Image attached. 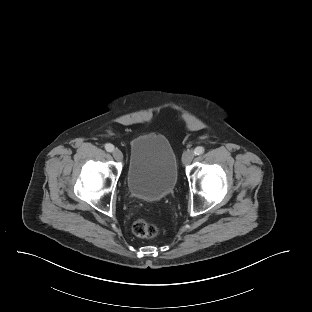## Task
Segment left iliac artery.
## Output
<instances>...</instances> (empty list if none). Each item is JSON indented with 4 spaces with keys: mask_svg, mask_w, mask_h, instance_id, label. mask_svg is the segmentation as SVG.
Segmentation results:
<instances>
[{
    "mask_svg": "<svg viewBox=\"0 0 312 312\" xmlns=\"http://www.w3.org/2000/svg\"><path fill=\"white\" fill-rule=\"evenodd\" d=\"M204 151H205V149L202 146H198V147L195 148L194 154L195 155H201V154L204 153Z\"/></svg>",
    "mask_w": 312,
    "mask_h": 312,
    "instance_id": "left-iliac-artery-1",
    "label": "left iliac artery"
}]
</instances>
